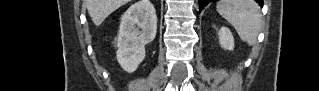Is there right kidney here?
<instances>
[{"label":"right kidney","mask_w":319,"mask_h":91,"mask_svg":"<svg viewBox=\"0 0 319 91\" xmlns=\"http://www.w3.org/2000/svg\"><path fill=\"white\" fill-rule=\"evenodd\" d=\"M157 32L156 11L150 0H139L121 17L117 39V60L121 67L134 72L145 58V44L152 42Z\"/></svg>","instance_id":"right-kidney-1"}]
</instances>
